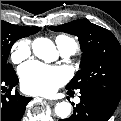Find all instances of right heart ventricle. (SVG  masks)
Listing matches in <instances>:
<instances>
[{"label": "right heart ventricle", "mask_w": 121, "mask_h": 121, "mask_svg": "<svg viewBox=\"0 0 121 121\" xmlns=\"http://www.w3.org/2000/svg\"><path fill=\"white\" fill-rule=\"evenodd\" d=\"M69 43H75V42L72 38L67 36L60 35L56 37V44L58 47Z\"/></svg>", "instance_id": "obj_1"}]
</instances>
